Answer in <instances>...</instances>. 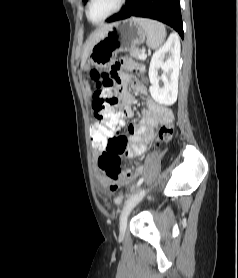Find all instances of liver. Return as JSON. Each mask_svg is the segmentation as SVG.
<instances>
[{
	"label": "liver",
	"instance_id": "6515ba94",
	"mask_svg": "<svg viewBox=\"0 0 238 278\" xmlns=\"http://www.w3.org/2000/svg\"><path fill=\"white\" fill-rule=\"evenodd\" d=\"M112 26V24L110 25H104L102 27H100L99 29H97L89 38V40L86 43V46L84 48V52L82 55V63H81V67L83 68L85 66V63L87 61V58L90 54V51L92 49V47L105 35V33L107 32V30Z\"/></svg>",
	"mask_w": 238,
	"mask_h": 278
}]
</instances>
